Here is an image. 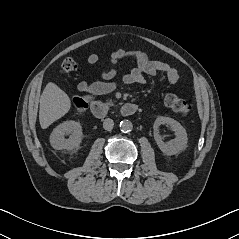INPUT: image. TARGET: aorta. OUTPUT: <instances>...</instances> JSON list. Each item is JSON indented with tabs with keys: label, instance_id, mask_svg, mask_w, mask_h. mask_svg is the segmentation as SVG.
Segmentation results:
<instances>
[{
	"label": "aorta",
	"instance_id": "obj_1",
	"mask_svg": "<svg viewBox=\"0 0 239 239\" xmlns=\"http://www.w3.org/2000/svg\"><path fill=\"white\" fill-rule=\"evenodd\" d=\"M119 127L122 132L128 133V132L132 131L133 124L129 120H123L120 122Z\"/></svg>",
	"mask_w": 239,
	"mask_h": 239
}]
</instances>
